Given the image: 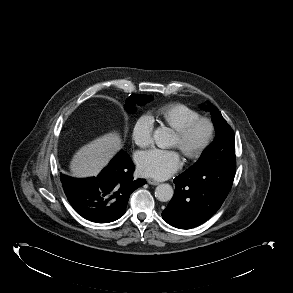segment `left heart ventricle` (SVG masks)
<instances>
[{
    "mask_svg": "<svg viewBox=\"0 0 293 293\" xmlns=\"http://www.w3.org/2000/svg\"><path fill=\"white\" fill-rule=\"evenodd\" d=\"M207 133V129L205 126H200L196 129V131L193 133V135L191 136V138L189 139V141L187 142V147L189 148H196L198 147L204 140L205 136ZM174 146L179 147L180 145V140L177 137V135L175 136L174 142H173Z\"/></svg>",
    "mask_w": 293,
    "mask_h": 293,
    "instance_id": "1",
    "label": "left heart ventricle"
}]
</instances>
